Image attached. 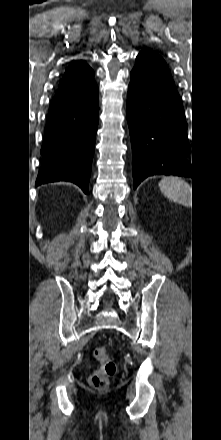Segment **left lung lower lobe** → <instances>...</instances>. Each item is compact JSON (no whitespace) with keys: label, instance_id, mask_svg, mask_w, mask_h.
<instances>
[{"label":"left lung lower lobe","instance_id":"left-lung-lower-lobe-1","mask_svg":"<svg viewBox=\"0 0 221 440\" xmlns=\"http://www.w3.org/2000/svg\"><path fill=\"white\" fill-rule=\"evenodd\" d=\"M127 120L134 188L153 175L194 178L188 160V124L170 70L158 54L141 51L131 71Z\"/></svg>","mask_w":221,"mask_h":440}]
</instances>
